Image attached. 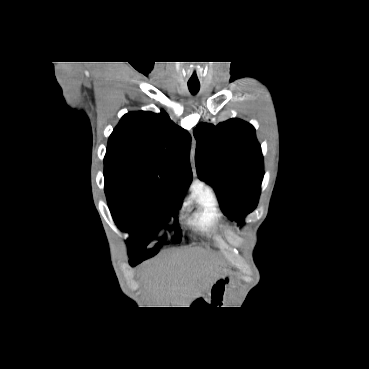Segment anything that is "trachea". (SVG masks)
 <instances>
[{
	"label": "trachea",
	"mask_w": 369,
	"mask_h": 369,
	"mask_svg": "<svg viewBox=\"0 0 369 369\" xmlns=\"http://www.w3.org/2000/svg\"><path fill=\"white\" fill-rule=\"evenodd\" d=\"M188 88L189 91L195 95L198 93L199 89H200V84L199 83H188Z\"/></svg>",
	"instance_id": "3493384b"
}]
</instances>
